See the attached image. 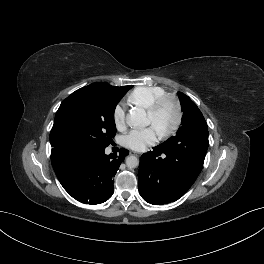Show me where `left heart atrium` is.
<instances>
[{"mask_svg":"<svg viewBox=\"0 0 264 264\" xmlns=\"http://www.w3.org/2000/svg\"><path fill=\"white\" fill-rule=\"evenodd\" d=\"M158 136L159 132L154 126L143 129H134L123 138V143L130 149L142 151L147 146L155 144Z\"/></svg>","mask_w":264,"mask_h":264,"instance_id":"39dd6f15","label":"left heart atrium"}]
</instances>
